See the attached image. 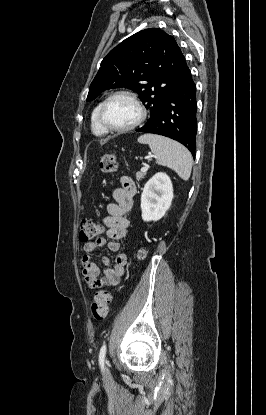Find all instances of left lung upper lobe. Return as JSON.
Masks as SVG:
<instances>
[{
  "label": "left lung upper lobe",
  "mask_w": 266,
  "mask_h": 415,
  "mask_svg": "<svg viewBox=\"0 0 266 415\" xmlns=\"http://www.w3.org/2000/svg\"><path fill=\"white\" fill-rule=\"evenodd\" d=\"M187 63L174 37L161 29L142 30L112 49L102 60L87 101L111 88H128L140 96L154 120L178 87Z\"/></svg>",
  "instance_id": "left-lung-upper-lobe-1"
}]
</instances>
